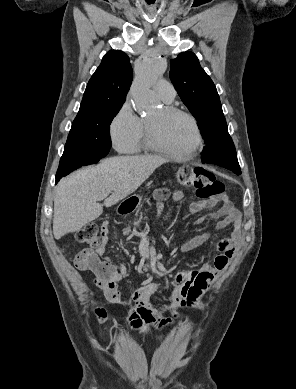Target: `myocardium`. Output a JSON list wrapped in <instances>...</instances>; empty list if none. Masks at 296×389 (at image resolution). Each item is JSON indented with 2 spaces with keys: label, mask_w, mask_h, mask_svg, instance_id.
Returning <instances> with one entry per match:
<instances>
[{
  "label": "myocardium",
  "mask_w": 296,
  "mask_h": 389,
  "mask_svg": "<svg viewBox=\"0 0 296 389\" xmlns=\"http://www.w3.org/2000/svg\"><path fill=\"white\" fill-rule=\"evenodd\" d=\"M163 110L167 114H174V115H180L185 117L189 120L191 123L193 130H194V142L191 145V147L184 151V152H175L172 151L164 146H162L160 143L157 142V140L154 137L153 131L149 125V123L146 121V141L147 145L150 149L163 154L165 156H168L170 158L176 159V160H188L195 156V154L200 149L202 142H203V136L200 129V126L198 124L197 119L188 111L183 110L179 107L173 106V105H165L163 107Z\"/></svg>",
  "instance_id": "myocardium-1"
}]
</instances>
